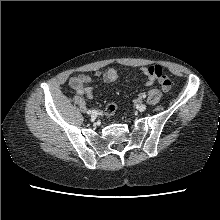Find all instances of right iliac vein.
Here are the masks:
<instances>
[{"label": "right iliac vein", "instance_id": "right-iliac-vein-1", "mask_svg": "<svg viewBox=\"0 0 220 220\" xmlns=\"http://www.w3.org/2000/svg\"><path fill=\"white\" fill-rule=\"evenodd\" d=\"M97 115H98L97 111H92L91 112V118L92 119H95L97 117Z\"/></svg>", "mask_w": 220, "mask_h": 220}]
</instances>
